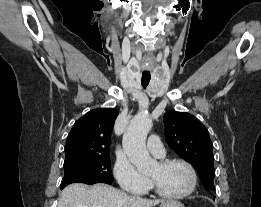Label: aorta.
<instances>
[{
	"label": "aorta",
	"mask_w": 261,
	"mask_h": 207,
	"mask_svg": "<svg viewBox=\"0 0 261 207\" xmlns=\"http://www.w3.org/2000/svg\"><path fill=\"white\" fill-rule=\"evenodd\" d=\"M152 125L148 114L139 113L131 120L123 135L126 155L139 172L147 171L155 163L146 149V138Z\"/></svg>",
	"instance_id": "aorta-1"
}]
</instances>
